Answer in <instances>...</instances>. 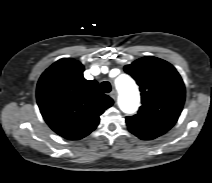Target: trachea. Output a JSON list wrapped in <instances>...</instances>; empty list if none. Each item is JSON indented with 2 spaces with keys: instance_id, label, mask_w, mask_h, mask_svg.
<instances>
[{
  "instance_id": "obj_1",
  "label": "trachea",
  "mask_w": 212,
  "mask_h": 183,
  "mask_svg": "<svg viewBox=\"0 0 212 183\" xmlns=\"http://www.w3.org/2000/svg\"><path fill=\"white\" fill-rule=\"evenodd\" d=\"M101 89L104 93H109L111 91V84L108 81L101 83Z\"/></svg>"
}]
</instances>
